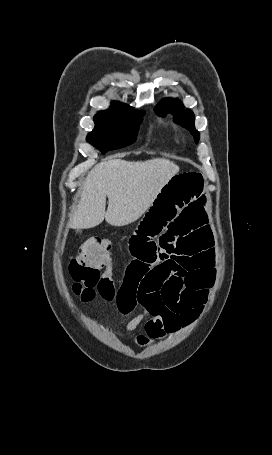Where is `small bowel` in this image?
I'll return each instance as SVG.
<instances>
[{
	"mask_svg": "<svg viewBox=\"0 0 272 455\" xmlns=\"http://www.w3.org/2000/svg\"><path fill=\"white\" fill-rule=\"evenodd\" d=\"M205 178L172 176L130 238L132 261L115 297L140 346L174 333L201 312L214 279V238L205 210ZM140 312L134 314L137 308Z\"/></svg>",
	"mask_w": 272,
	"mask_h": 455,
	"instance_id": "small-bowel-1",
	"label": "small bowel"
}]
</instances>
